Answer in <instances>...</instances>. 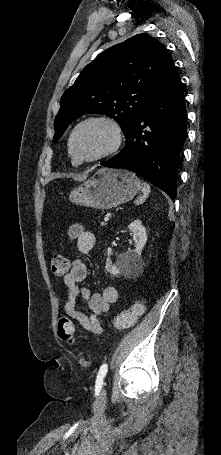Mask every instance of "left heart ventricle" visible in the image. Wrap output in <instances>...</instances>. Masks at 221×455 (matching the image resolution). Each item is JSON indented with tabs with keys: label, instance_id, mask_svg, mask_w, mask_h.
<instances>
[{
	"label": "left heart ventricle",
	"instance_id": "b2bd125f",
	"mask_svg": "<svg viewBox=\"0 0 221 455\" xmlns=\"http://www.w3.org/2000/svg\"><path fill=\"white\" fill-rule=\"evenodd\" d=\"M111 144L109 130L98 124H89L77 134L74 149L81 158L95 156L105 151Z\"/></svg>",
	"mask_w": 221,
	"mask_h": 455
}]
</instances>
